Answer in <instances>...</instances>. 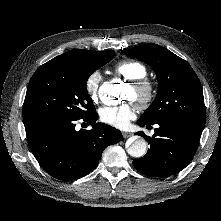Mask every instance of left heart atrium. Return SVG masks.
<instances>
[{"label": "left heart atrium", "instance_id": "obj_1", "mask_svg": "<svg viewBox=\"0 0 221 221\" xmlns=\"http://www.w3.org/2000/svg\"><path fill=\"white\" fill-rule=\"evenodd\" d=\"M135 110L131 104L123 103L115 106H105L99 110L102 122L123 129L134 119Z\"/></svg>", "mask_w": 221, "mask_h": 221}]
</instances>
